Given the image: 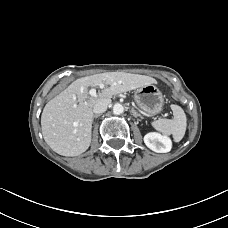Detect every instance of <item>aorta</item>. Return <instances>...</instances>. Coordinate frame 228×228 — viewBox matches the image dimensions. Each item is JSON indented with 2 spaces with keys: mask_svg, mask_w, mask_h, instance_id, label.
I'll return each instance as SVG.
<instances>
[{
  "mask_svg": "<svg viewBox=\"0 0 228 228\" xmlns=\"http://www.w3.org/2000/svg\"><path fill=\"white\" fill-rule=\"evenodd\" d=\"M124 112V107L122 104L120 103H116L114 106H113V113L115 115H120Z\"/></svg>",
  "mask_w": 228,
  "mask_h": 228,
  "instance_id": "762f6f07",
  "label": "aorta"
}]
</instances>
